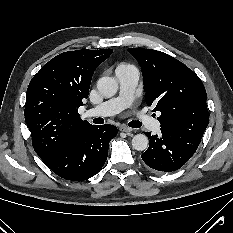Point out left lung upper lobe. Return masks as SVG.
Here are the masks:
<instances>
[{"label":"left lung upper lobe","instance_id":"1","mask_svg":"<svg viewBox=\"0 0 233 233\" xmlns=\"http://www.w3.org/2000/svg\"><path fill=\"white\" fill-rule=\"evenodd\" d=\"M142 67L146 100L155 106L161 127L202 139L209 123L201 79L172 56L152 49L129 48Z\"/></svg>","mask_w":233,"mask_h":233}]
</instances>
